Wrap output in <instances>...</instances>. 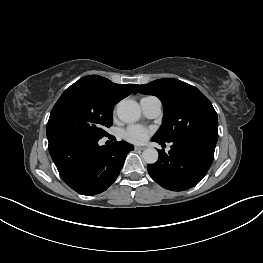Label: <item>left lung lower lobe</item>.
<instances>
[{
    "mask_svg": "<svg viewBox=\"0 0 263 263\" xmlns=\"http://www.w3.org/2000/svg\"><path fill=\"white\" fill-rule=\"evenodd\" d=\"M152 141L165 143L153 138ZM171 143L168 154L158 150L159 159L147 166L148 172L154 181L166 189L183 191L192 188L210 168L216 143L194 139L174 140Z\"/></svg>",
    "mask_w": 263,
    "mask_h": 263,
    "instance_id": "0a47b994",
    "label": "left lung lower lobe"
}]
</instances>
